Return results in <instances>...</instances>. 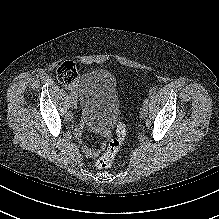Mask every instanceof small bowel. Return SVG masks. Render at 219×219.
I'll return each mask as SVG.
<instances>
[{"mask_svg": "<svg viewBox=\"0 0 219 219\" xmlns=\"http://www.w3.org/2000/svg\"><path fill=\"white\" fill-rule=\"evenodd\" d=\"M71 89H75V86H70ZM94 131H96L97 129L96 128H92ZM101 135L105 138L109 137L110 136V132L109 131H102L101 132ZM103 148V145L100 147V148H89V147H84L83 148V151H84V154L89 157V158H93V157H96L99 152H100V149Z\"/></svg>", "mask_w": 219, "mask_h": 219, "instance_id": "small-bowel-1", "label": "small bowel"}]
</instances>
